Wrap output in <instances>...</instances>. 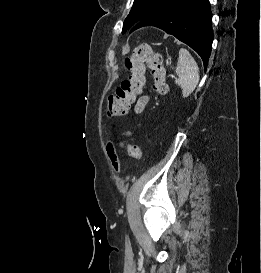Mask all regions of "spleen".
<instances>
[{"instance_id":"3e777b00","label":"spleen","mask_w":261,"mask_h":273,"mask_svg":"<svg viewBox=\"0 0 261 273\" xmlns=\"http://www.w3.org/2000/svg\"><path fill=\"white\" fill-rule=\"evenodd\" d=\"M176 74L178 78L175 83L182 89L183 98H186L193 93L198 85L199 68L190 52L183 47L179 50Z\"/></svg>"}]
</instances>
